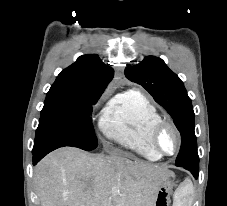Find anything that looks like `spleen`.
<instances>
[{"instance_id":"1","label":"spleen","mask_w":227,"mask_h":206,"mask_svg":"<svg viewBox=\"0 0 227 206\" xmlns=\"http://www.w3.org/2000/svg\"><path fill=\"white\" fill-rule=\"evenodd\" d=\"M193 195V185L192 183H187L182 185L174 195V205L173 206H191Z\"/></svg>"}]
</instances>
